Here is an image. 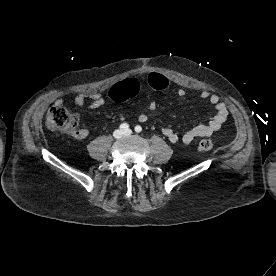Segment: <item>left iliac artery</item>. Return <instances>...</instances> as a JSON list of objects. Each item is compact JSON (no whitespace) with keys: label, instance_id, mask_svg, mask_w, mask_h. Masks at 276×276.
<instances>
[{"label":"left iliac artery","instance_id":"44dca946","mask_svg":"<svg viewBox=\"0 0 276 276\" xmlns=\"http://www.w3.org/2000/svg\"><path fill=\"white\" fill-rule=\"evenodd\" d=\"M135 131H136L137 133L141 132V131H142V127L139 126V125H137V126L135 127Z\"/></svg>","mask_w":276,"mask_h":276}]
</instances>
